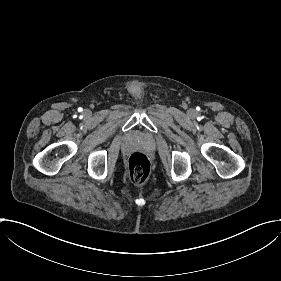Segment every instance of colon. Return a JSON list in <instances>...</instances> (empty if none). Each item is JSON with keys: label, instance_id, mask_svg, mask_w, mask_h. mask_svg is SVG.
<instances>
[{"label": "colon", "instance_id": "obj_1", "mask_svg": "<svg viewBox=\"0 0 281 281\" xmlns=\"http://www.w3.org/2000/svg\"><path fill=\"white\" fill-rule=\"evenodd\" d=\"M127 171L130 180L136 185H141L150 175L151 163L143 153L135 152L128 158Z\"/></svg>", "mask_w": 281, "mask_h": 281}]
</instances>
